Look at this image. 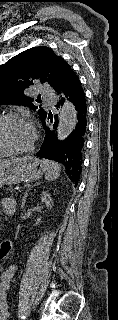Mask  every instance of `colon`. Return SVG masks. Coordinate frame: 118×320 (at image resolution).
Listing matches in <instances>:
<instances>
[{
  "label": "colon",
  "mask_w": 118,
  "mask_h": 320,
  "mask_svg": "<svg viewBox=\"0 0 118 320\" xmlns=\"http://www.w3.org/2000/svg\"><path fill=\"white\" fill-rule=\"evenodd\" d=\"M1 244H2L3 250H1V248H0V259L4 258L6 256V254L8 253L7 250L10 247V241L5 240ZM0 247H1V245H0Z\"/></svg>",
  "instance_id": "5ec220e1"
}]
</instances>
